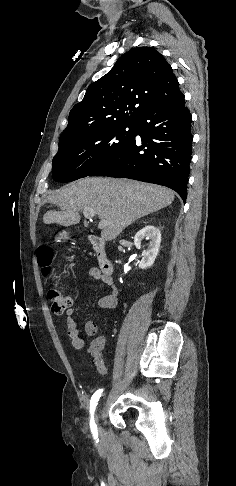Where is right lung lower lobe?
I'll return each instance as SVG.
<instances>
[{"mask_svg": "<svg viewBox=\"0 0 236 486\" xmlns=\"http://www.w3.org/2000/svg\"><path fill=\"white\" fill-rule=\"evenodd\" d=\"M185 96L154 105L135 122L134 140L88 176L136 179L167 186L185 201L192 154V116Z\"/></svg>", "mask_w": 236, "mask_h": 486, "instance_id": "1", "label": "right lung lower lobe"}]
</instances>
